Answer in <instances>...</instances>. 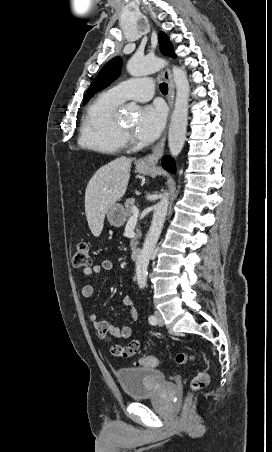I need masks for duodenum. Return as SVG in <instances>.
<instances>
[{"instance_id": "duodenum-1", "label": "duodenum", "mask_w": 272, "mask_h": 452, "mask_svg": "<svg viewBox=\"0 0 272 452\" xmlns=\"http://www.w3.org/2000/svg\"><path fill=\"white\" fill-rule=\"evenodd\" d=\"M139 255H140V247L134 246L131 250V259L137 260L139 258Z\"/></svg>"}]
</instances>
